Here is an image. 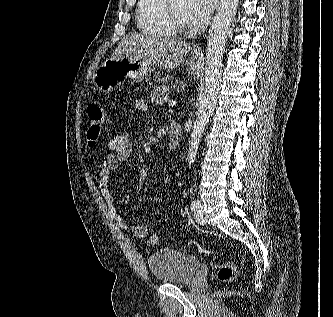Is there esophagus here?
Returning a JSON list of instances; mask_svg holds the SVG:
<instances>
[{
  "label": "esophagus",
  "instance_id": "obj_1",
  "mask_svg": "<svg viewBox=\"0 0 333 317\" xmlns=\"http://www.w3.org/2000/svg\"><path fill=\"white\" fill-rule=\"evenodd\" d=\"M201 55V52H200V50L198 49V50H196V57H199Z\"/></svg>",
  "mask_w": 333,
  "mask_h": 317
}]
</instances>
